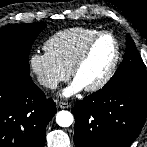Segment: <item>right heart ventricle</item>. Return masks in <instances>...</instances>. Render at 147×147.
Wrapping results in <instances>:
<instances>
[{"instance_id": "1", "label": "right heart ventricle", "mask_w": 147, "mask_h": 147, "mask_svg": "<svg viewBox=\"0 0 147 147\" xmlns=\"http://www.w3.org/2000/svg\"><path fill=\"white\" fill-rule=\"evenodd\" d=\"M99 31L73 27L56 32L44 43V49L63 67H71L87 41Z\"/></svg>"}]
</instances>
